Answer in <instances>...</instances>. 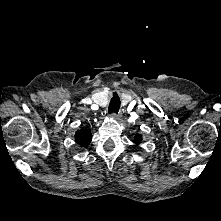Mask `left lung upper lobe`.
Masks as SVG:
<instances>
[{"label":"left lung upper lobe","instance_id":"left-lung-upper-lobe-1","mask_svg":"<svg viewBox=\"0 0 221 221\" xmlns=\"http://www.w3.org/2000/svg\"><path fill=\"white\" fill-rule=\"evenodd\" d=\"M141 141H142V136L136 134L135 137H134V142H135L136 144H139Z\"/></svg>","mask_w":221,"mask_h":221}]
</instances>
